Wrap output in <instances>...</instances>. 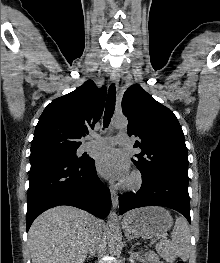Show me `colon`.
Wrapping results in <instances>:
<instances>
[{"label":"colon","instance_id":"colon-1","mask_svg":"<svg viewBox=\"0 0 220 263\" xmlns=\"http://www.w3.org/2000/svg\"><path fill=\"white\" fill-rule=\"evenodd\" d=\"M176 263H185L184 261H181V260H179V261H177Z\"/></svg>","mask_w":220,"mask_h":263}]
</instances>
